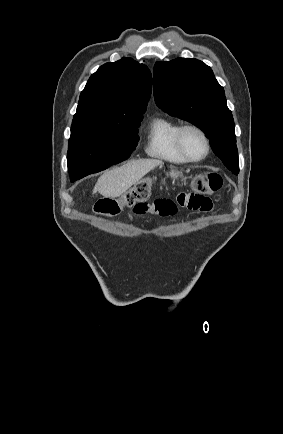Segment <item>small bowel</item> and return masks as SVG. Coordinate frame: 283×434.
Returning a JSON list of instances; mask_svg holds the SVG:
<instances>
[{"instance_id": "obj_1", "label": "small bowel", "mask_w": 283, "mask_h": 434, "mask_svg": "<svg viewBox=\"0 0 283 434\" xmlns=\"http://www.w3.org/2000/svg\"><path fill=\"white\" fill-rule=\"evenodd\" d=\"M178 207L195 212H208L212 208V202L203 193L182 192L178 194L176 199L158 198L150 203H138L133 206V213L138 216L153 214L167 217L175 215Z\"/></svg>"}]
</instances>
